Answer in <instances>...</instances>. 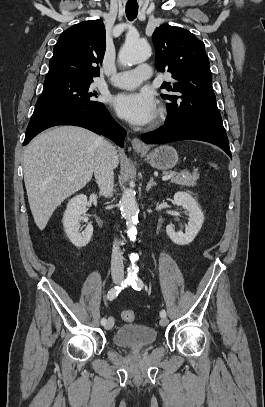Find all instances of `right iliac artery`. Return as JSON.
<instances>
[{
    "mask_svg": "<svg viewBox=\"0 0 265 407\" xmlns=\"http://www.w3.org/2000/svg\"><path fill=\"white\" fill-rule=\"evenodd\" d=\"M128 285H130V282L128 279H126L124 282H122L119 286H115L114 288H111L108 291L107 294V299L108 300H114L118 294L121 292L122 289L126 288ZM107 322L106 318L101 319V324L105 325Z\"/></svg>",
    "mask_w": 265,
    "mask_h": 407,
    "instance_id": "1",
    "label": "right iliac artery"
}]
</instances>
